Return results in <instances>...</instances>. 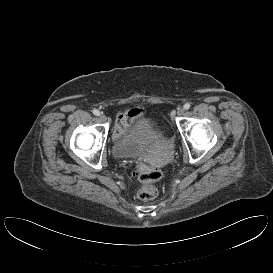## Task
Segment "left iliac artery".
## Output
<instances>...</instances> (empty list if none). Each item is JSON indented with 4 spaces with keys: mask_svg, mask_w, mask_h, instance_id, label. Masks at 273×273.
Returning a JSON list of instances; mask_svg holds the SVG:
<instances>
[{
    "mask_svg": "<svg viewBox=\"0 0 273 273\" xmlns=\"http://www.w3.org/2000/svg\"><path fill=\"white\" fill-rule=\"evenodd\" d=\"M183 107H184L185 110H188V109L190 108V104H189V103H186V104H184Z\"/></svg>",
    "mask_w": 273,
    "mask_h": 273,
    "instance_id": "obj_1",
    "label": "left iliac artery"
}]
</instances>
